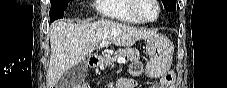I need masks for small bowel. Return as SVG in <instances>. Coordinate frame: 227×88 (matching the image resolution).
<instances>
[{
  "label": "small bowel",
  "mask_w": 227,
  "mask_h": 88,
  "mask_svg": "<svg viewBox=\"0 0 227 88\" xmlns=\"http://www.w3.org/2000/svg\"><path fill=\"white\" fill-rule=\"evenodd\" d=\"M135 85L134 80L132 79H122L119 84L118 88H132ZM161 88H174V79L173 76L170 73L165 74L160 81V86ZM82 88H87V87H82Z\"/></svg>",
  "instance_id": "1"
}]
</instances>
